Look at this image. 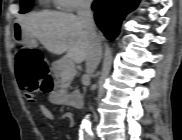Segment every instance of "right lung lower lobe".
I'll return each mask as SVG.
<instances>
[{
    "mask_svg": "<svg viewBox=\"0 0 182 140\" xmlns=\"http://www.w3.org/2000/svg\"><path fill=\"white\" fill-rule=\"evenodd\" d=\"M140 0H96L92 5L95 20L105 36L114 40L122 20L132 12Z\"/></svg>",
    "mask_w": 182,
    "mask_h": 140,
    "instance_id": "obj_1",
    "label": "right lung lower lobe"
}]
</instances>
